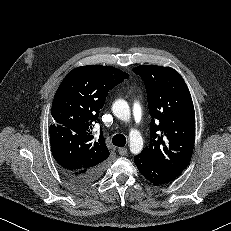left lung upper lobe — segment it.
Instances as JSON below:
<instances>
[{"label":"left lung upper lobe","mask_w":231,"mask_h":231,"mask_svg":"<svg viewBox=\"0 0 231 231\" xmlns=\"http://www.w3.org/2000/svg\"><path fill=\"white\" fill-rule=\"evenodd\" d=\"M151 115V142L139 154L168 170L183 171L195 142V112L183 78L171 67L140 65Z\"/></svg>","instance_id":"5c2ea615"}]
</instances>
